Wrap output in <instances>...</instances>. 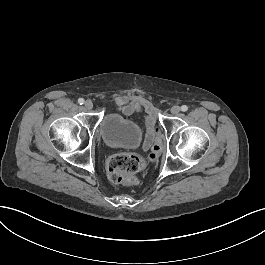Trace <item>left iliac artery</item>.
Listing matches in <instances>:
<instances>
[{"mask_svg":"<svg viewBox=\"0 0 265 265\" xmlns=\"http://www.w3.org/2000/svg\"><path fill=\"white\" fill-rule=\"evenodd\" d=\"M181 110L183 112H186L188 110V107L186 105L181 106Z\"/></svg>","mask_w":265,"mask_h":265,"instance_id":"obj_1","label":"left iliac artery"}]
</instances>
